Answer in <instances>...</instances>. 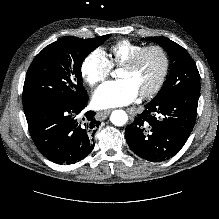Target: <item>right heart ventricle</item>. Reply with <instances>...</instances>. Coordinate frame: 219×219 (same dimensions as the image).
<instances>
[{
  "label": "right heart ventricle",
  "mask_w": 219,
  "mask_h": 219,
  "mask_svg": "<svg viewBox=\"0 0 219 219\" xmlns=\"http://www.w3.org/2000/svg\"><path fill=\"white\" fill-rule=\"evenodd\" d=\"M143 47V44L121 39L110 47L107 57L112 67H119Z\"/></svg>",
  "instance_id": "e07e8e85"
}]
</instances>
